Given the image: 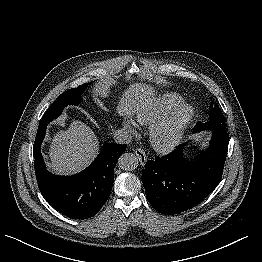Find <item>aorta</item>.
I'll use <instances>...</instances> for the list:
<instances>
[{
  "instance_id": "1",
  "label": "aorta",
  "mask_w": 262,
  "mask_h": 262,
  "mask_svg": "<svg viewBox=\"0 0 262 262\" xmlns=\"http://www.w3.org/2000/svg\"><path fill=\"white\" fill-rule=\"evenodd\" d=\"M118 165L123 170L131 171L137 168L138 160L134 154L124 153L120 156Z\"/></svg>"
}]
</instances>
